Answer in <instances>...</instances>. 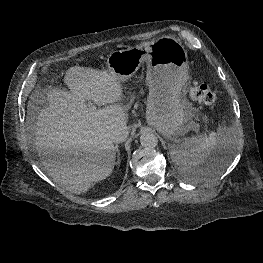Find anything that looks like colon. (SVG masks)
Instances as JSON below:
<instances>
[{
    "instance_id": "5ec220e1",
    "label": "colon",
    "mask_w": 263,
    "mask_h": 263,
    "mask_svg": "<svg viewBox=\"0 0 263 263\" xmlns=\"http://www.w3.org/2000/svg\"><path fill=\"white\" fill-rule=\"evenodd\" d=\"M190 96L194 101L205 105H213L216 100L215 92L207 84H195L190 88Z\"/></svg>"
}]
</instances>
